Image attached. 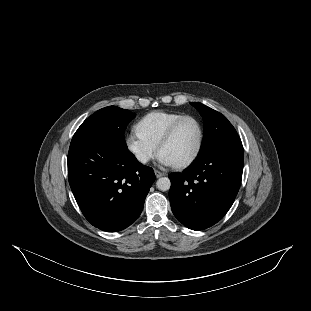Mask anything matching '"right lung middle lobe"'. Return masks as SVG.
<instances>
[{
  "label": "right lung middle lobe",
  "mask_w": 311,
  "mask_h": 311,
  "mask_svg": "<svg viewBox=\"0 0 311 311\" xmlns=\"http://www.w3.org/2000/svg\"><path fill=\"white\" fill-rule=\"evenodd\" d=\"M135 116V113L117 106L102 108L80 125L71 140L70 147L94 138L105 139L119 145H126L124 132L127 124Z\"/></svg>",
  "instance_id": "1"
}]
</instances>
